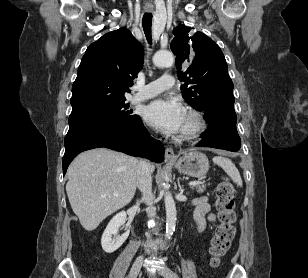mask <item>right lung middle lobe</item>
I'll return each mask as SVG.
<instances>
[{
    "label": "right lung middle lobe",
    "mask_w": 308,
    "mask_h": 278,
    "mask_svg": "<svg viewBox=\"0 0 308 278\" xmlns=\"http://www.w3.org/2000/svg\"><path fill=\"white\" fill-rule=\"evenodd\" d=\"M127 108L128 104L120 103L96 109L83 114L70 116L68 123L70 126L85 122L132 125L141 120L138 115H132V111L126 110Z\"/></svg>",
    "instance_id": "obj_1"
}]
</instances>
